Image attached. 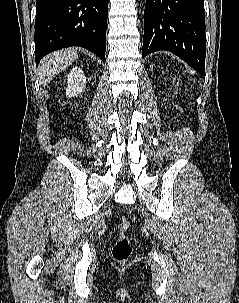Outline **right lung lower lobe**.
<instances>
[{
  "label": "right lung lower lobe",
  "mask_w": 239,
  "mask_h": 303,
  "mask_svg": "<svg viewBox=\"0 0 239 303\" xmlns=\"http://www.w3.org/2000/svg\"><path fill=\"white\" fill-rule=\"evenodd\" d=\"M109 0H37L36 65L48 53L84 47L105 60Z\"/></svg>",
  "instance_id": "98d812e1"
}]
</instances>
